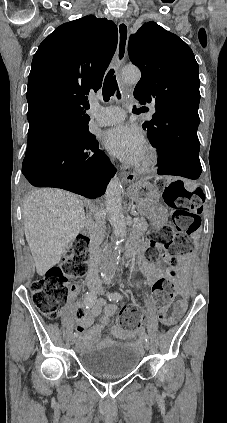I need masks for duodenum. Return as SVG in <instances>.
Returning a JSON list of instances; mask_svg holds the SVG:
<instances>
[{
  "label": "duodenum",
  "instance_id": "1",
  "mask_svg": "<svg viewBox=\"0 0 227 423\" xmlns=\"http://www.w3.org/2000/svg\"><path fill=\"white\" fill-rule=\"evenodd\" d=\"M128 248L131 250V252H132L133 255H137V250H138V247L137 246H135L134 244H130L128 246Z\"/></svg>",
  "mask_w": 227,
  "mask_h": 423
}]
</instances>
